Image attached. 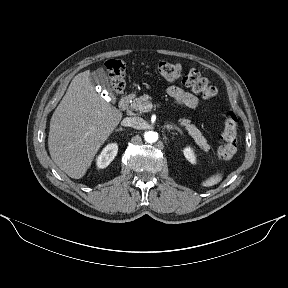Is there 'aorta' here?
<instances>
[{
  "instance_id": "obj_1",
  "label": "aorta",
  "mask_w": 288,
  "mask_h": 288,
  "mask_svg": "<svg viewBox=\"0 0 288 288\" xmlns=\"http://www.w3.org/2000/svg\"><path fill=\"white\" fill-rule=\"evenodd\" d=\"M144 139L148 143H154L158 140V134L154 131H148L145 133Z\"/></svg>"
}]
</instances>
